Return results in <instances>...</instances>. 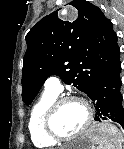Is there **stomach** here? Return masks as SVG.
<instances>
[{"label": "stomach", "mask_w": 124, "mask_h": 149, "mask_svg": "<svg viewBox=\"0 0 124 149\" xmlns=\"http://www.w3.org/2000/svg\"><path fill=\"white\" fill-rule=\"evenodd\" d=\"M103 125L105 124L97 125L93 129H91L88 133L80 137L77 141H75L71 145H68L67 148L65 149H94L93 145L95 142L93 141V136L97 134V132L99 131V128Z\"/></svg>", "instance_id": "1"}]
</instances>
